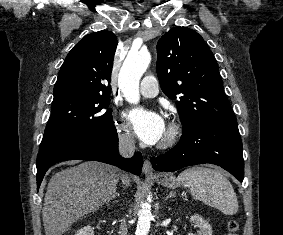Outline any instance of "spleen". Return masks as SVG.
<instances>
[{
  "instance_id": "obj_1",
  "label": "spleen",
  "mask_w": 283,
  "mask_h": 235,
  "mask_svg": "<svg viewBox=\"0 0 283 235\" xmlns=\"http://www.w3.org/2000/svg\"><path fill=\"white\" fill-rule=\"evenodd\" d=\"M176 180L188 187L196 200L217 208L223 214L234 215L238 211L236 193L229 180L219 171L192 167L181 172Z\"/></svg>"
}]
</instances>
